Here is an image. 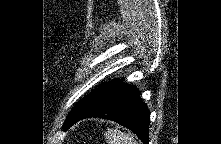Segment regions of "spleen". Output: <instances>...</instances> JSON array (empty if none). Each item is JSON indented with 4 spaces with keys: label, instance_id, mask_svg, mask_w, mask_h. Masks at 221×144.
Masks as SVG:
<instances>
[{
    "label": "spleen",
    "instance_id": "3e777b00",
    "mask_svg": "<svg viewBox=\"0 0 221 144\" xmlns=\"http://www.w3.org/2000/svg\"><path fill=\"white\" fill-rule=\"evenodd\" d=\"M104 136L108 144H138L133 136L118 129H107Z\"/></svg>",
    "mask_w": 221,
    "mask_h": 144
}]
</instances>
